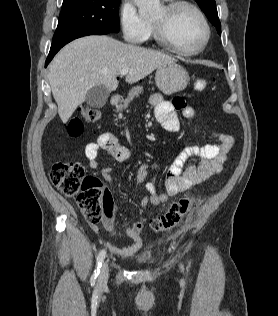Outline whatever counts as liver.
<instances>
[{
	"instance_id": "obj_1",
	"label": "liver",
	"mask_w": 278,
	"mask_h": 316,
	"mask_svg": "<svg viewBox=\"0 0 278 316\" xmlns=\"http://www.w3.org/2000/svg\"><path fill=\"white\" fill-rule=\"evenodd\" d=\"M169 61L175 60L108 36L91 35L72 41L55 56L48 73L62 122L69 120L92 87L102 84L109 92L115 91L120 70H128L125 81L132 84Z\"/></svg>"
}]
</instances>
